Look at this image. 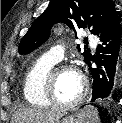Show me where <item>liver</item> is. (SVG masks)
<instances>
[{
    "mask_svg": "<svg viewBox=\"0 0 122 123\" xmlns=\"http://www.w3.org/2000/svg\"><path fill=\"white\" fill-rule=\"evenodd\" d=\"M64 113L56 110L21 108L14 113L12 123H55Z\"/></svg>",
    "mask_w": 122,
    "mask_h": 123,
    "instance_id": "6515ba94",
    "label": "liver"
}]
</instances>
